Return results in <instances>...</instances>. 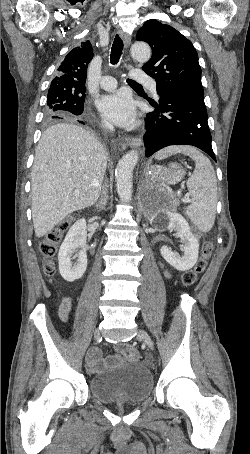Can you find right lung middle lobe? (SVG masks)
I'll list each match as a JSON object with an SVG mask.
<instances>
[{"label":"right lung middle lobe","instance_id":"obj_1","mask_svg":"<svg viewBox=\"0 0 250 454\" xmlns=\"http://www.w3.org/2000/svg\"><path fill=\"white\" fill-rule=\"evenodd\" d=\"M85 87L66 90L50 87L45 108V120L81 115L84 108Z\"/></svg>","mask_w":250,"mask_h":454}]
</instances>
